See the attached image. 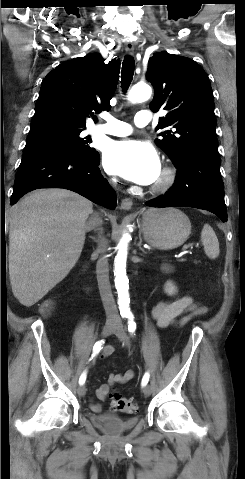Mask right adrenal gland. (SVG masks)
<instances>
[{
    "mask_svg": "<svg viewBox=\"0 0 245 479\" xmlns=\"http://www.w3.org/2000/svg\"><path fill=\"white\" fill-rule=\"evenodd\" d=\"M90 238H91L94 242H97V238H95L94 236H90Z\"/></svg>",
    "mask_w": 245,
    "mask_h": 479,
    "instance_id": "1",
    "label": "right adrenal gland"
}]
</instances>
